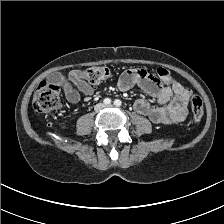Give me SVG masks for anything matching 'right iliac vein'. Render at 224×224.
<instances>
[{
    "mask_svg": "<svg viewBox=\"0 0 224 224\" xmlns=\"http://www.w3.org/2000/svg\"><path fill=\"white\" fill-rule=\"evenodd\" d=\"M103 107H104V105L103 104H97L96 106H95V111L96 112H99V111H101L102 109H103Z\"/></svg>",
    "mask_w": 224,
    "mask_h": 224,
    "instance_id": "1",
    "label": "right iliac vein"
}]
</instances>
